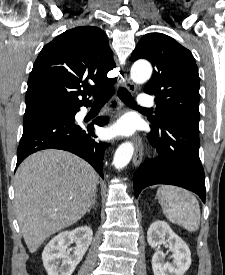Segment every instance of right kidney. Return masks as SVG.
<instances>
[{"label": "right kidney", "instance_id": "obj_1", "mask_svg": "<svg viewBox=\"0 0 225 275\" xmlns=\"http://www.w3.org/2000/svg\"><path fill=\"white\" fill-rule=\"evenodd\" d=\"M92 237L91 228L82 226L62 232L50 240L42 253L48 275H71L89 248ZM73 241L76 247L73 254L68 255L66 249Z\"/></svg>", "mask_w": 225, "mask_h": 275}]
</instances>
